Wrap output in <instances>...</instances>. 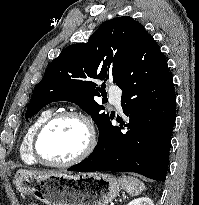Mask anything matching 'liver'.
<instances>
[{
	"label": "liver",
	"mask_w": 199,
	"mask_h": 205,
	"mask_svg": "<svg viewBox=\"0 0 199 205\" xmlns=\"http://www.w3.org/2000/svg\"><path fill=\"white\" fill-rule=\"evenodd\" d=\"M24 170H19V172H23ZM24 172H27L31 175H41V174H51V173H58V172H55V171H48V172H40V171H24Z\"/></svg>",
	"instance_id": "liver-1"
}]
</instances>
